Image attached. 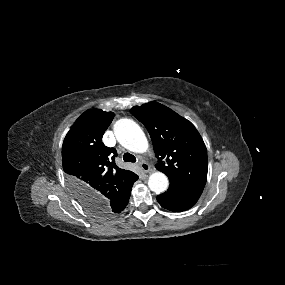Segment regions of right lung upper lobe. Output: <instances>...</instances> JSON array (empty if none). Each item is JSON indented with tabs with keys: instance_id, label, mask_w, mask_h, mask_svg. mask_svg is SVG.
Here are the masks:
<instances>
[{
	"instance_id": "1",
	"label": "right lung upper lobe",
	"mask_w": 285,
	"mask_h": 285,
	"mask_svg": "<svg viewBox=\"0 0 285 285\" xmlns=\"http://www.w3.org/2000/svg\"><path fill=\"white\" fill-rule=\"evenodd\" d=\"M113 112L91 109L83 113L67 133L62 146V164L66 178L79 202L109 204L118 199L138 179L115 164L114 148L102 142L111 124Z\"/></svg>"
}]
</instances>
